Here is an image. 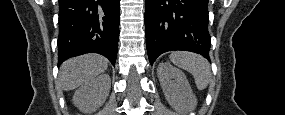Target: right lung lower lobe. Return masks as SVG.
I'll use <instances>...</instances> for the list:
<instances>
[{
	"instance_id": "right-lung-lower-lobe-1",
	"label": "right lung lower lobe",
	"mask_w": 285,
	"mask_h": 115,
	"mask_svg": "<svg viewBox=\"0 0 285 115\" xmlns=\"http://www.w3.org/2000/svg\"><path fill=\"white\" fill-rule=\"evenodd\" d=\"M120 0H59L58 65L70 57L99 53L115 65Z\"/></svg>"
}]
</instances>
